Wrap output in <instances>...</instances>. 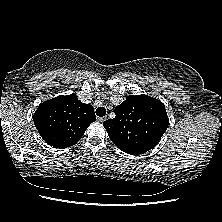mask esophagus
Wrapping results in <instances>:
<instances>
[{
    "instance_id": "obj_1",
    "label": "esophagus",
    "mask_w": 222,
    "mask_h": 222,
    "mask_svg": "<svg viewBox=\"0 0 222 222\" xmlns=\"http://www.w3.org/2000/svg\"><path fill=\"white\" fill-rule=\"evenodd\" d=\"M97 120L99 122H104L106 120V116H103V117H98Z\"/></svg>"
}]
</instances>
